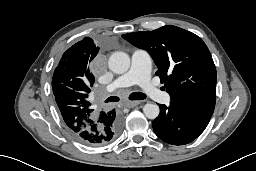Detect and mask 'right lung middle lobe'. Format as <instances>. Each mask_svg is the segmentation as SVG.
<instances>
[{"mask_svg": "<svg viewBox=\"0 0 256 171\" xmlns=\"http://www.w3.org/2000/svg\"><path fill=\"white\" fill-rule=\"evenodd\" d=\"M69 71H70V69L68 68V69H66L65 73L68 74Z\"/></svg>", "mask_w": 256, "mask_h": 171, "instance_id": "1", "label": "right lung middle lobe"}]
</instances>
